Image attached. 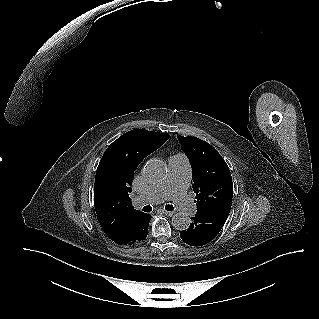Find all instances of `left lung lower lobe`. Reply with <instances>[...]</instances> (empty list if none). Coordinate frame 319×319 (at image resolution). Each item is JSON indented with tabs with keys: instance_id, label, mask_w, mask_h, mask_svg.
I'll return each instance as SVG.
<instances>
[{
	"instance_id": "1",
	"label": "left lung lower lobe",
	"mask_w": 319,
	"mask_h": 319,
	"mask_svg": "<svg viewBox=\"0 0 319 319\" xmlns=\"http://www.w3.org/2000/svg\"><path fill=\"white\" fill-rule=\"evenodd\" d=\"M229 213L197 212L192 223L180 233L181 239L191 246H202L210 242L222 229Z\"/></svg>"
}]
</instances>
